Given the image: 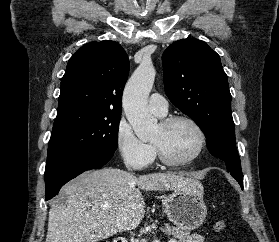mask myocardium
Masks as SVG:
<instances>
[{
  "mask_svg": "<svg viewBox=\"0 0 279 242\" xmlns=\"http://www.w3.org/2000/svg\"><path fill=\"white\" fill-rule=\"evenodd\" d=\"M176 122H186L190 124L196 131L198 135V145L194 153L186 159L174 160L167 157L158 144L152 142V146L158 159L163 164L171 167H182L189 165L193 163L196 159H198V157L202 154L203 150L205 149L207 137L202 126L194 118L187 115H172L166 117L159 123V126L163 129H166Z\"/></svg>",
  "mask_w": 279,
  "mask_h": 242,
  "instance_id": "f54148a6",
  "label": "myocardium"
}]
</instances>
